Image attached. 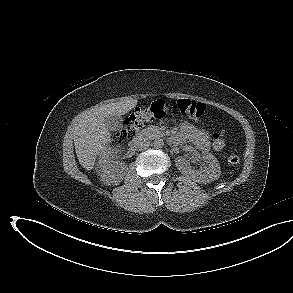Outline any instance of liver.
Listing matches in <instances>:
<instances>
[{"mask_svg":"<svg viewBox=\"0 0 293 293\" xmlns=\"http://www.w3.org/2000/svg\"><path fill=\"white\" fill-rule=\"evenodd\" d=\"M137 99L126 98L118 102L94 107L78 115L73 123L72 135L79 163L86 170H92L96 159L100 161L115 157L120 151L110 147L111 133L105 125V118L109 115L122 116L137 105ZM97 166H101V162Z\"/></svg>","mask_w":293,"mask_h":293,"instance_id":"6515ba94","label":"liver"}]
</instances>
